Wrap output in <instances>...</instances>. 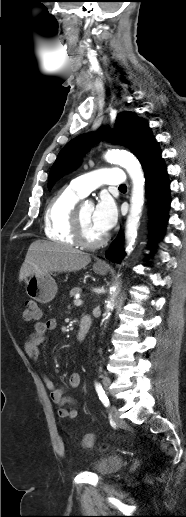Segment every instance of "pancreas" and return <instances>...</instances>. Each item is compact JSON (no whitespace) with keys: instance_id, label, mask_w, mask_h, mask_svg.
Returning a JSON list of instances; mask_svg holds the SVG:
<instances>
[{"instance_id":"1","label":"pancreas","mask_w":186,"mask_h":517,"mask_svg":"<svg viewBox=\"0 0 186 517\" xmlns=\"http://www.w3.org/2000/svg\"><path fill=\"white\" fill-rule=\"evenodd\" d=\"M82 290L81 288L79 287H74L70 290V296L73 297L75 296L77 293H80Z\"/></svg>"}]
</instances>
